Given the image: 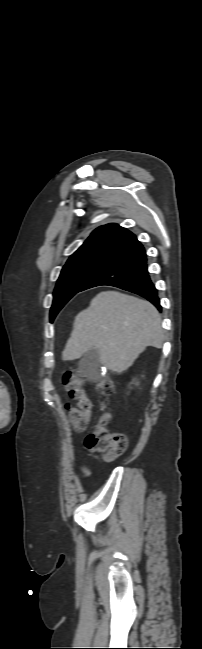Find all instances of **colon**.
Returning <instances> with one entry per match:
<instances>
[{"instance_id": "5ec220e1", "label": "colon", "mask_w": 202, "mask_h": 649, "mask_svg": "<svg viewBox=\"0 0 202 649\" xmlns=\"http://www.w3.org/2000/svg\"><path fill=\"white\" fill-rule=\"evenodd\" d=\"M63 380L70 396L76 401L75 406H67L68 415L74 428L83 431L89 423L92 408V403L86 395L85 380L75 369L66 371ZM95 386L100 394L110 396L113 392V379L110 376H102L96 381ZM108 421L109 415L102 414L95 429L87 436L86 446L111 461L126 451L128 438L123 433L109 431Z\"/></svg>"}]
</instances>
